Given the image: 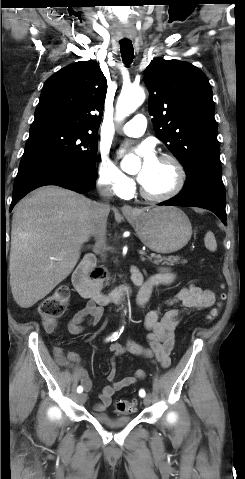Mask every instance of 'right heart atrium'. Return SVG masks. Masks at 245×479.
Returning a JSON list of instances; mask_svg holds the SVG:
<instances>
[{"label": "right heart atrium", "instance_id": "right-heart-atrium-1", "mask_svg": "<svg viewBox=\"0 0 245 479\" xmlns=\"http://www.w3.org/2000/svg\"><path fill=\"white\" fill-rule=\"evenodd\" d=\"M98 182L102 187L119 196L128 195L133 184L105 150H102L98 156Z\"/></svg>", "mask_w": 245, "mask_h": 479}]
</instances>
